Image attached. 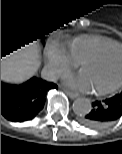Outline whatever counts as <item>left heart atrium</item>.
Returning <instances> with one entry per match:
<instances>
[{
    "instance_id": "left-heart-atrium-1",
    "label": "left heart atrium",
    "mask_w": 122,
    "mask_h": 154,
    "mask_svg": "<svg viewBox=\"0 0 122 154\" xmlns=\"http://www.w3.org/2000/svg\"><path fill=\"white\" fill-rule=\"evenodd\" d=\"M64 82L66 85L73 89H79V90H88L89 87L84 80L82 74L79 75H66L64 77Z\"/></svg>"
}]
</instances>
